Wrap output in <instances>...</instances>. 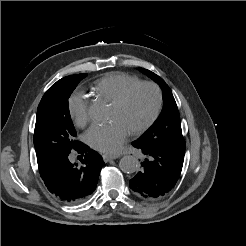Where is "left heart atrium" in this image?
<instances>
[{"label": "left heart atrium", "instance_id": "39dd6f15", "mask_svg": "<svg viewBox=\"0 0 246 246\" xmlns=\"http://www.w3.org/2000/svg\"><path fill=\"white\" fill-rule=\"evenodd\" d=\"M129 129L118 119L105 124H94L86 132L87 143L94 149L108 154L119 151L129 134Z\"/></svg>", "mask_w": 246, "mask_h": 246}]
</instances>
